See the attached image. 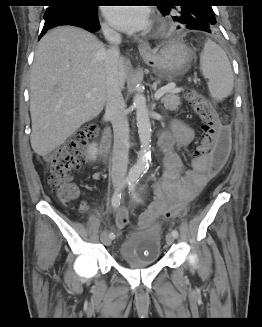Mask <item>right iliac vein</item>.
Masks as SVG:
<instances>
[{"label":"right iliac vein","mask_w":262,"mask_h":327,"mask_svg":"<svg viewBox=\"0 0 262 327\" xmlns=\"http://www.w3.org/2000/svg\"><path fill=\"white\" fill-rule=\"evenodd\" d=\"M119 185H120V182H118V181L115 182L114 183V188L118 189ZM101 241L107 246H110L111 243H112V239L109 237V235L106 232H103L101 234Z\"/></svg>","instance_id":"63e3f726"}]
</instances>
